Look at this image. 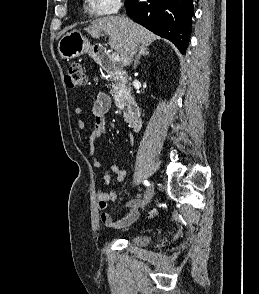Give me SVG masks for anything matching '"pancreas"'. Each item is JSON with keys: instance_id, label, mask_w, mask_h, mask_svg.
<instances>
[{"instance_id": "obj_1", "label": "pancreas", "mask_w": 259, "mask_h": 294, "mask_svg": "<svg viewBox=\"0 0 259 294\" xmlns=\"http://www.w3.org/2000/svg\"><path fill=\"white\" fill-rule=\"evenodd\" d=\"M112 93L115 100V104L122 108L124 105L125 96L128 94V89L122 79L114 78L112 85Z\"/></svg>"}]
</instances>
